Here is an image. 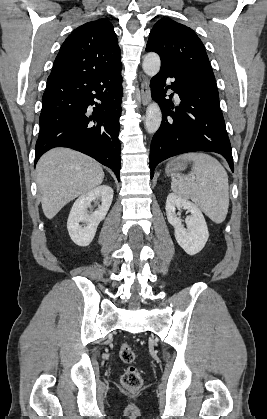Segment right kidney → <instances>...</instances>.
Returning <instances> with one entry per match:
<instances>
[{
  "mask_svg": "<svg viewBox=\"0 0 267 419\" xmlns=\"http://www.w3.org/2000/svg\"><path fill=\"white\" fill-rule=\"evenodd\" d=\"M100 200L101 205L91 213H87V208L91 202ZM113 200V189L108 185L98 186L82 196L73 204L70 211L67 229L72 241L79 246H88L96 233L98 224L105 218ZM86 222V226L80 225Z\"/></svg>",
  "mask_w": 267,
  "mask_h": 419,
  "instance_id": "obj_1",
  "label": "right kidney"
}]
</instances>
